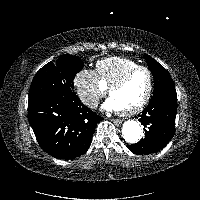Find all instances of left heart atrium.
Instances as JSON below:
<instances>
[{"mask_svg":"<svg viewBox=\"0 0 200 200\" xmlns=\"http://www.w3.org/2000/svg\"><path fill=\"white\" fill-rule=\"evenodd\" d=\"M103 108L107 111H119V107L114 101V99L110 96L103 104Z\"/></svg>","mask_w":200,"mask_h":200,"instance_id":"1","label":"left heart atrium"}]
</instances>
